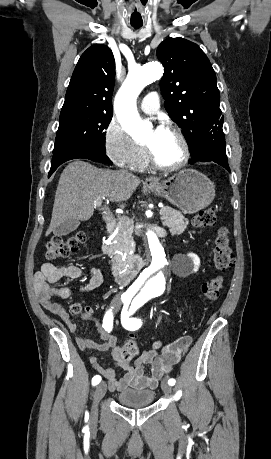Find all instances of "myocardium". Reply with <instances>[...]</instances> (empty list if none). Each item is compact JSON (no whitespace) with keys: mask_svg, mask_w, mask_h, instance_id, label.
<instances>
[{"mask_svg":"<svg viewBox=\"0 0 271 459\" xmlns=\"http://www.w3.org/2000/svg\"><path fill=\"white\" fill-rule=\"evenodd\" d=\"M163 130L172 133L178 140L180 144V155L173 161H164L160 159L149 146L145 145L151 162L162 170H175L185 166L191 158V147L186 136L178 126L171 122L166 124Z\"/></svg>","mask_w":271,"mask_h":459,"instance_id":"obj_1","label":"myocardium"}]
</instances>
